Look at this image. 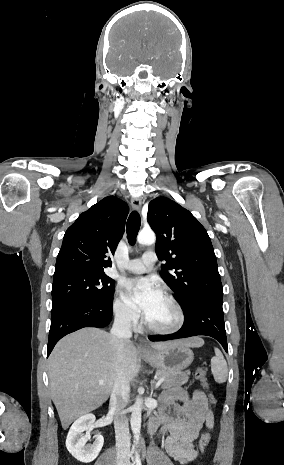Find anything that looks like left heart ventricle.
<instances>
[{
    "mask_svg": "<svg viewBox=\"0 0 284 465\" xmlns=\"http://www.w3.org/2000/svg\"><path fill=\"white\" fill-rule=\"evenodd\" d=\"M146 319L156 328H169L176 322V314L169 302L161 296Z\"/></svg>",
    "mask_w": 284,
    "mask_h": 465,
    "instance_id": "b2bd125f",
    "label": "left heart ventricle"
}]
</instances>
